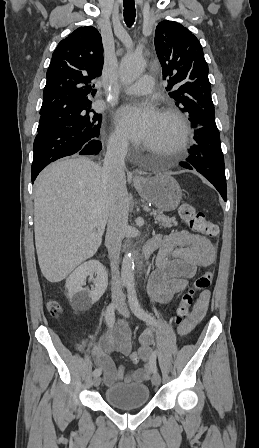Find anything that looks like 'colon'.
I'll return each instance as SVG.
<instances>
[{"mask_svg":"<svg viewBox=\"0 0 259 448\" xmlns=\"http://www.w3.org/2000/svg\"><path fill=\"white\" fill-rule=\"evenodd\" d=\"M178 213L192 231L208 237H216L218 235L219 230L217 225L210 221L203 212L197 210L192 204H180L178 207ZM213 277L214 272L212 270H207L205 273L196 278L189 289L181 294L174 315L175 323L178 326L189 320L191 315V307L193 305L196 293L206 290L211 285ZM47 310L50 315L54 317H58L62 313V307L56 300L48 301ZM130 359L132 363L137 364L141 360V357L139 353H132L130 355Z\"/></svg>","mask_w":259,"mask_h":448,"instance_id":"1","label":"colon"}]
</instances>
